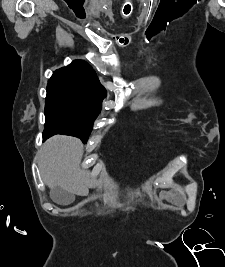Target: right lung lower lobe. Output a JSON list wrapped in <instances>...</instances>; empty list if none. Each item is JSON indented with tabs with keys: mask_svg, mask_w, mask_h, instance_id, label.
<instances>
[{
	"mask_svg": "<svg viewBox=\"0 0 225 267\" xmlns=\"http://www.w3.org/2000/svg\"><path fill=\"white\" fill-rule=\"evenodd\" d=\"M51 137L50 135H47L45 133H43V141H45L47 138Z\"/></svg>",
	"mask_w": 225,
	"mask_h": 267,
	"instance_id": "1",
	"label": "right lung lower lobe"
}]
</instances>
